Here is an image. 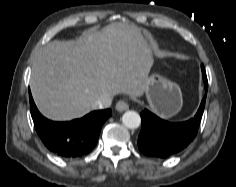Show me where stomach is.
Returning <instances> with one entry per match:
<instances>
[{
	"mask_svg": "<svg viewBox=\"0 0 236 187\" xmlns=\"http://www.w3.org/2000/svg\"><path fill=\"white\" fill-rule=\"evenodd\" d=\"M145 95L150 108L164 118L177 114L182 107L180 87L159 75L149 77Z\"/></svg>",
	"mask_w": 236,
	"mask_h": 187,
	"instance_id": "1",
	"label": "stomach"
}]
</instances>
